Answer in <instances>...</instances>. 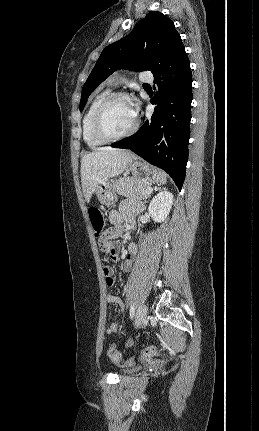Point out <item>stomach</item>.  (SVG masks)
Segmentation results:
<instances>
[{
    "label": "stomach",
    "mask_w": 259,
    "mask_h": 431,
    "mask_svg": "<svg viewBox=\"0 0 259 431\" xmlns=\"http://www.w3.org/2000/svg\"><path fill=\"white\" fill-rule=\"evenodd\" d=\"M126 169L132 174L133 178L140 179L149 186L160 181L158 170L148 163L139 161L138 159L131 161L127 165ZM94 193L98 200L106 206H110L116 201V194L113 189V185L108 181L100 184Z\"/></svg>",
    "instance_id": "1"
}]
</instances>
